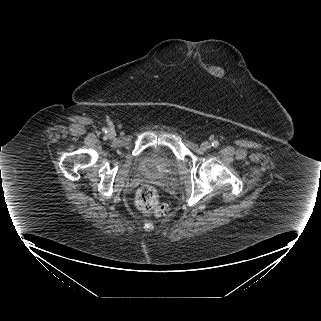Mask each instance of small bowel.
I'll list each match as a JSON object with an SVG mask.
<instances>
[{"mask_svg":"<svg viewBox=\"0 0 321 321\" xmlns=\"http://www.w3.org/2000/svg\"><path fill=\"white\" fill-rule=\"evenodd\" d=\"M213 72H218V69H217V68H214V69H213Z\"/></svg>","mask_w":321,"mask_h":321,"instance_id":"obj_1","label":"small bowel"}]
</instances>
